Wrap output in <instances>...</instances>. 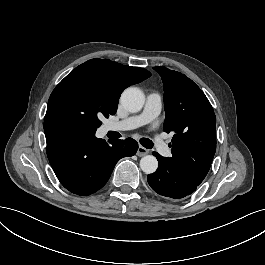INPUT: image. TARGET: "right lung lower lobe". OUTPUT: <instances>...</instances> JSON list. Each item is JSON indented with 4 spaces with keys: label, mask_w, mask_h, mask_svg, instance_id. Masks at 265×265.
I'll return each mask as SVG.
<instances>
[{
    "label": "right lung lower lobe",
    "mask_w": 265,
    "mask_h": 265,
    "mask_svg": "<svg viewBox=\"0 0 265 265\" xmlns=\"http://www.w3.org/2000/svg\"><path fill=\"white\" fill-rule=\"evenodd\" d=\"M47 156L60 183L77 195H90L108 181L117 161L133 156L138 143L132 139L105 140L70 125L44 123Z\"/></svg>",
    "instance_id": "obj_1"
}]
</instances>
